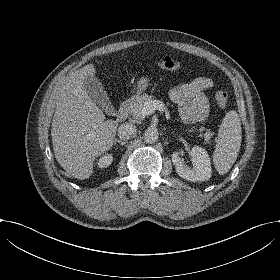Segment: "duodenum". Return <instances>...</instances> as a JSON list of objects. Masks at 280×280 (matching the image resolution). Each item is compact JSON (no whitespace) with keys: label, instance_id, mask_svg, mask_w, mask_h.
Wrapping results in <instances>:
<instances>
[{"label":"duodenum","instance_id":"1","mask_svg":"<svg viewBox=\"0 0 280 280\" xmlns=\"http://www.w3.org/2000/svg\"><path fill=\"white\" fill-rule=\"evenodd\" d=\"M130 106H131L130 101H124L123 103H121V105L119 106V109H118V114H117L118 120H123L124 118H126L128 112H129Z\"/></svg>","mask_w":280,"mask_h":280}]
</instances>
